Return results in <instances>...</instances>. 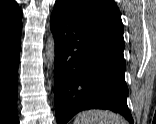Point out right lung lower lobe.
I'll list each match as a JSON object with an SVG mask.
<instances>
[{
    "instance_id": "1",
    "label": "right lung lower lobe",
    "mask_w": 156,
    "mask_h": 124,
    "mask_svg": "<svg viewBox=\"0 0 156 124\" xmlns=\"http://www.w3.org/2000/svg\"><path fill=\"white\" fill-rule=\"evenodd\" d=\"M22 26L0 30V124H19L17 75Z\"/></svg>"
}]
</instances>
